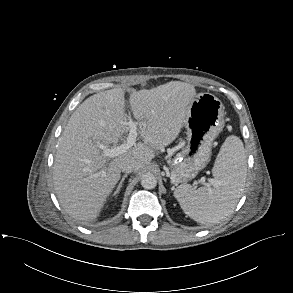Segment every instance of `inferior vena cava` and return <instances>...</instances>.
Masks as SVG:
<instances>
[{
	"instance_id": "obj_1",
	"label": "inferior vena cava",
	"mask_w": 293,
	"mask_h": 293,
	"mask_svg": "<svg viewBox=\"0 0 293 293\" xmlns=\"http://www.w3.org/2000/svg\"><path fill=\"white\" fill-rule=\"evenodd\" d=\"M134 168H135L134 164L132 162L127 161L122 165L121 170L125 173H130L134 171Z\"/></svg>"
}]
</instances>
